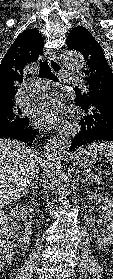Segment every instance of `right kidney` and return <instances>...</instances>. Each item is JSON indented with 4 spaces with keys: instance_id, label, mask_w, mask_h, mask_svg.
Wrapping results in <instances>:
<instances>
[{
    "instance_id": "right-kidney-1",
    "label": "right kidney",
    "mask_w": 113,
    "mask_h": 279,
    "mask_svg": "<svg viewBox=\"0 0 113 279\" xmlns=\"http://www.w3.org/2000/svg\"><path fill=\"white\" fill-rule=\"evenodd\" d=\"M25 210L21 204H16L11 210V230L14 233L17 246L27 248L30 244L32 229L31 225L26 224L24 230L21 229L20 220L24 217Z\"/></svg>"
}]
</instances>
